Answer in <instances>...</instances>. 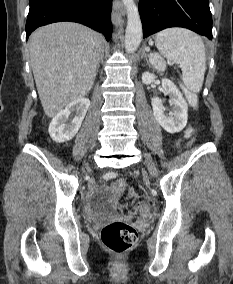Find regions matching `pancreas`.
I'll return each mask as SVG.
<instances>
[{
	"label": "pancreas",
	"mask_w": 233,
	"mask_h": 284,
	"mask_svg": "<svg viewBox=\"0 0 233 284\" xmlns=\"http://www.w3.org/2000/svg\"><path fill=\"white\" fill-rule=\"evenodd\" d=\"M155 56H156V59L153 62L154 67L158 70H164L166 68V64H165L164 60L156 54H155Z\"/></svg>",
	"instance_id": "1"
}]
</instances>
